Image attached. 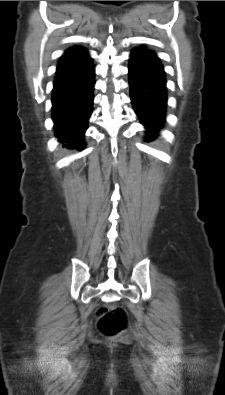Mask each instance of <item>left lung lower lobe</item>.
I'll return each mask as SVG.
<instances>
[{
	"instance_id": "1",
	"label": "left lung lower lobe",
	"mask_w": 225,
	"mask_h": 395,
	"mask_svg": "<svg viewBox=\"0 0 225 395\" xmlns=\"http://www.w3.org/2000/svg\"><path fill=\"white\" fill-rule=\"evenodd\" d=\"M128 81L133 109L146 128V139L152 141L165 123L168 99L167 79L160 59L131 53Z\"/></svg>"
}]
</instances>
